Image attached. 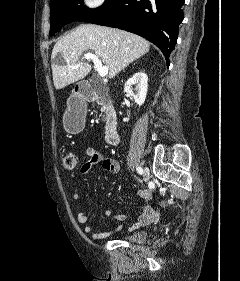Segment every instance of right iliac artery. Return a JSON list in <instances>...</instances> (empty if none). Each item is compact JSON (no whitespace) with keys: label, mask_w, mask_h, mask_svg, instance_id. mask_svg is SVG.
<instances>
[{"label":"right iliac artery","mask_w":240,"mask_h":281,"mask_svg":"<svg viewBox=\"0 0 240 281\" xmlns=\"http://www.w3.org/2000/svg\"><path fill=\"white\" fill-rule=\"evenodd\" d=\"M136 170L140 175L143 174V169L141 167H137Z\"/></svg>","instance_id":"82829eb1"}]
</instances>
